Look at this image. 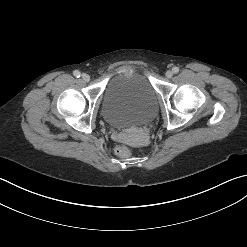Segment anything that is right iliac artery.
<instances>
[{
	"label": "right iliac artery",
	"instance_id": "1",
	"mask_svg": "<svg viewBox=\"0 0 247 247\" xmlns=\"http://www.w3.org/2000/svg\"><path fill=\"white\" fill-rule=\"evenodd\" d=\"M73 75H74L75 77L79 78L80 75H81V73H80L79 71L75 70V71L73 72Z\"/></svg>",
	"mask_w": 247,
	"mask_h": 247
}]
</instances>
